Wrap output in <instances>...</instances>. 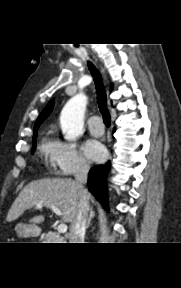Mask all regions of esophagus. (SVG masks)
<instances>
[{
	"instance_id": "34e87169",
	"label": "esophagus",
	"mask_w": 181,
	"mask_h": 288,
	"mask_svg": "<svg viewBox=\"0 0 181 288\" xmlns=\"http://www.w3.org/2000/svg\"><path fill=\"white\" fill-rule=\"evenodd\" d=\"M102 72H103V74L105 73V70L102 68Z\"/></svg>"
}]
</instances>
